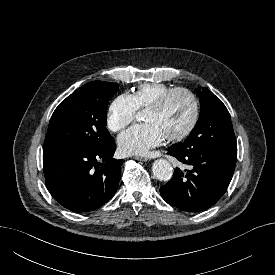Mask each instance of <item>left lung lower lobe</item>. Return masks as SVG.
Returning <instances> with one entry per match:
<instances>
[{"label":"left lung lower lobe","mask_w":275,"mask_h":275,"mask_svg":"<svg viewBox=\"0 0 275 275\" xmlns=\"http://www.w3.org/2000/svg\"><path fill=\"white\" fill-rule=\"evenodd\" d=\"M168 154L191 166L186 173L176 168L173 178L160 188L162 198L187 212L204 211L218 202L233 176L237 152L206 148L179 150L174 145Z\"/></svg>","instance_id":"left-lung-lower-lobe-1"}]
</instances>
